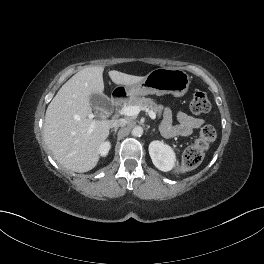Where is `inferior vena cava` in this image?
<instances>
[{
	"mask_svg": "<svg viewBox=\"0 0 264 264\" xmlns=\"http://www.w3.org/2000/svg\"><path fill=\"white\" fill-rule=\"evenodd\" d=\"M126 124H127V121L126 120H124V119H118V120H114L112 122L111 127H114V128L124 127V126H126Z\"/></svg>",
	"mask_w": 264,
	"mask_h": 264,
	"instance_id": "602c4592",
	"label": "inferior vena cava"
}]
</instances>
